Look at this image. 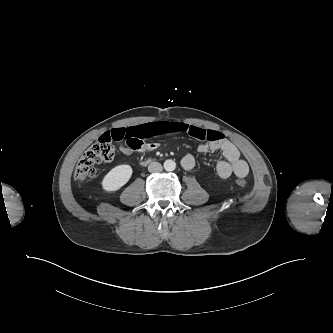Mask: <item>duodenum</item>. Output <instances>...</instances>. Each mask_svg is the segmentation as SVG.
Listing matches in <instances>:
<instances>
[{
    "label": "duodenum",
    "instance_id": "obj_1",
    "mask_svg": "<svg viewBox=\"0 0 333 333\" xmlns=\"http://www.w3.org/2000/svg\"><path fill=\"white\" fill-rule=\"evenodd\" d=\"M152 161V159H144L141 161L142 164H148Z\"/></svg>",
    "mask_w": 333,
    "mask_h": 333
}]
</instances>
